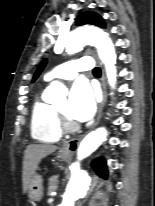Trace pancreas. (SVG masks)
I'll list each match as a JSON object with an SVG mask.
<instances>
[{"mask_svg": "<svg viewBox=\"0 0 155 206\" xmlns=\"http://www.w3.org/2000/svg\"><path fill=\"white\" fill-rule=\"evenodd\" d=\"M58 187V176L54 175L49 178L48 193L55 191Z\"/></svg>", "mask_w": 155, "mask_h": 206, "instance_id": "cf45deb5", "label": "pancreas"}]
</instances>
